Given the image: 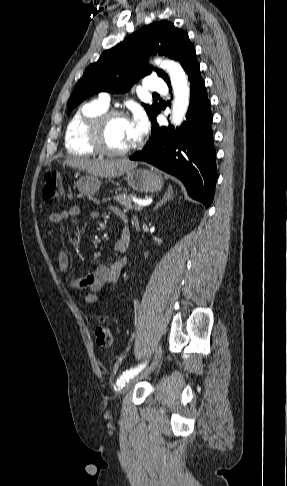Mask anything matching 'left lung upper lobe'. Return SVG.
<instances>
[{
  "mask_svg": "<svg viewBox=\"0 0 287 486\" xmlns=\"http://www.w3.org/2000/svg\"><path fill=\"white\" fill-rule=\"evenodd\" d=\"M157 53L178 60L183 68L196 57L188 34L173 23L162 20L144 26L123 42L104 51L96 63L86 68L68 101V113L93 94L129 91L135 82L149 73L151 66L147 63L148 57ZM156 71L167 84L170 83L164 71ZM144 107L151 121L161 110L155 102Z\"/></svg>",
  "mask_w": 287,
  "mask_h": 486,
  "instance_id": "5c2ea615",
  "label": "left lung upper lobe"
}]
</instances>
